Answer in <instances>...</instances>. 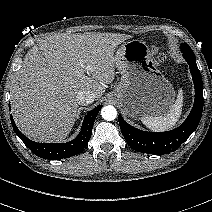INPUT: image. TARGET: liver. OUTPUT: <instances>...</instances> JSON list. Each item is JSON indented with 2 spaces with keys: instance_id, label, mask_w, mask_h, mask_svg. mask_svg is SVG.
<instances>
[{
  "instance_id": "1",
  "label": "liver",
  "mask_w": 212,
  "mask_h": 212,
  "mask_svg": "<svg viewBox=\"0 0 212 212\" xmlns=\"http://www.w3.org/2000/svg\"><path fill=\"white\" fill-rule=\"evenodd\" d=\"M129 38L61 33L33 46L11 91L13 118L22 133L39 142L63 141L77 118V93L86 90L101 98L115 78V48Z\"/></svg>"
}]
</instances>
